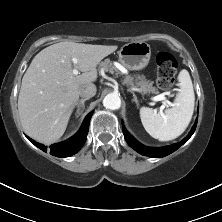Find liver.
Here are the masks:
<instances>
[{
    "label": "liver",
    "mask_w": 222,
    "mask_h": 222,
    "mask_svg": "<svg viewBox=\"0 0 222 222\" xmlns=\"http://www.w3.org/2000/svg\"><path fill=\"white\" fill-rule=\"evenodd\" d=\"M116 45L64 41L41 50L25 72L18 97L20 122L25 133L41 143L64 134L79 100V89L97 79V65ZM74 65L82 73L73 74Z\"/></svg>",
    "instance_id": "obj_1"
}]
</instances>
